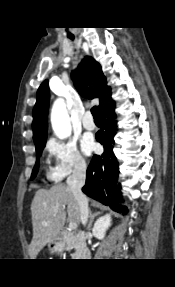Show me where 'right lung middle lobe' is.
<instances>
[{
  "label": "right lung middle lobe",
  "instance_id": "dd1d6c3e",
  "mask_svg": "<svg viewBox=\"0 0 175 287\" xmlns=\"http://www.w3.org/2000/svg\"><path fill=\"white\" fill-rule=\"evenodd\" d=\"M45 143H46V140H43V141L38 142V143L35 144L37 160H36L35 166H34L33 171H32L31 179L35 178V176H36V174H37V172H38V168H39V157H40L41 154H42V150H43V148L45 147Z\"/></svg>",
  "mask_w": 175,
  "mask_h": 287
}]
</instances>
